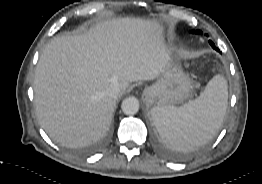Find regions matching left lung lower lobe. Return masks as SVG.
<instances>
[{
    "instance_id": "1",
    "label": "left lung lower lobe",
    "mask_w": 262,
    "mask_h": 184,
    "mask_svg": "<svg viewBox=\"0 0 262 184\" xmlns=\"http://www.w3.org/2000/svg\"><path fill=\"white\" fill-rule=\"evenodd\" d=\"M209 43L215 50L219 51L218 48L215 47V45H214V43L212 41H210Z\"/></svg>"
}]
</instances>
